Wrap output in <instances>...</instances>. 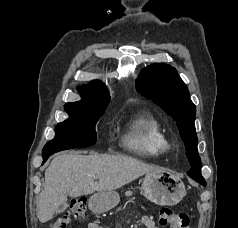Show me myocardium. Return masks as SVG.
<instances>
[{
	"label": "myocardium",
	"instance_id": "1",
	"mask_svg": "<svg viewBox=\"0 0 238 228\" xmlns=\"http://www.w3.org/2000/svg\"><path fill=\"white\" fill-rule=\"evenodd\" d=\"M164 148H165V152H168V151H171V150H172V144H171L170 141L167 140V139H166V141H165V146H164Z\"/></svg>",
	"mask_w": 238,
	"mask_h": 228
}]
</instances>
